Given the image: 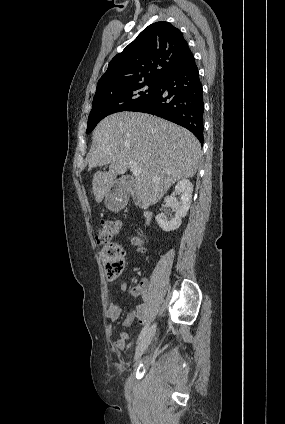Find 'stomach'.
<instances>
[{
  "label": "stomach",
  "instance_id": "obj_1",
  "mask_svg": "<svg viewBox=\"0 0 285 424\" xmlns=\"http://www.w3.org/2000/svg\"><path fill=\"white\" fill-rule=\"evenodd\" d=\"M105 205L110 210H116L120 207L117 198L113 197L110 192L106 195Z\"/></svg>",
  "mask_w": 285,
  "mask_h": 424
}]
</instances>
